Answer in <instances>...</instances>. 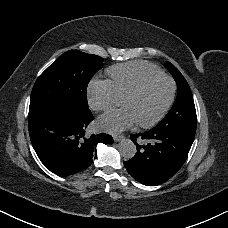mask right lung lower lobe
Wrapping results in <instances>:
<instances>
[{"label":"right lung lower lobe","mask_w":228,"mask_h":228,"mask_svg":"<svg viewBox=\"0 0 228 228\" xmlns=\"http://www.w3.org/2000/svg\"><path fill=\"white\" fill-rule=\"evenodd\" d=\"M92 120V115L75 118L56 109L29 112L30 139L48 170L59 176L80 172L96 157L98 143H113L108 134H87L86 129Z\"/></svg>","instance_id":"1"}]
</instances>
